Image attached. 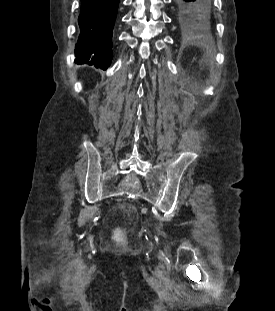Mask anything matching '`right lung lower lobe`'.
Wrapping results in <instances>:
<instances>
[{
  "label": "right lung lower lobe",
  "mask_w": 275,
  "mask_h": 311,
  "mask_svg": "<svg viewBox=\"0 0 275 311\" xmlns=\"http://www.w3.org/2000/svg\"><path fill=\"white\" fill-rule=\"evenodd\" d=\"M119 0H81L80 35L75 48L77 64L106 70L112 58V31Z\"/></svg>",
  "instance_id": "obj_1"
}]
</instances>
